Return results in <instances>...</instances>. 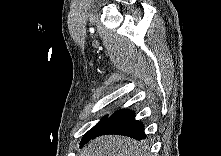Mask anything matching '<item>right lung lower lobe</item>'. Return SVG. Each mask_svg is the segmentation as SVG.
<instances>
[{
    "label": "right lung lower lobe",
    "instance_id": "obj_1",
    "mask_svg": "<svg viewBox=\"0 0 221 156\" xmlns=\"http://www.w3.org/2000/svg\"><path fill=\"white\" fill-rule=\"evenodd\" d=\"M106 134L125 135L137 140L146 138L143 123L135 120L134 112L127 109L118 110L107 118L92 139Z\"/></svg>",
    "mask_w": 221,
    "mask_h": 156
}]
</instances>
